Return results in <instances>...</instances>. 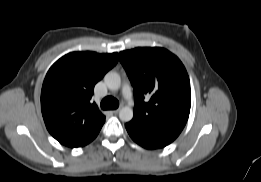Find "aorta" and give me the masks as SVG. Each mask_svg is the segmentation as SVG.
Here are the masks:
<instances>
[{"label": "aorta", "mask_w": 261, "mask_h": 182, "mask_svg": "<svg viewBox=\"0 0 261 182\" xmlns=\"http://www.w3.org/2000/svg\"><path fill=\"white\" fill-rule=\"evenodd\" d=\"M104 82L108 89L110 90H118L121 86V78L120 75L116 72H108L104 77ZM119 118L123 122H128L133 118V110L128 107H122L119 111Z\"/></svg>", "instance_id": "1"}]
</instances>
